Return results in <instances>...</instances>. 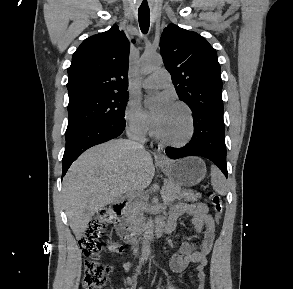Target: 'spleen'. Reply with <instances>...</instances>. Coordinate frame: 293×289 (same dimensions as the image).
Wrapping results in <instances>:
<instances>
[{
	"label": "spleen",
	"mask_w": 293,
	"mask_h": 289,
	"mask_svg": "<svg viewBox=\"0 0 293 289\" xmlns=\"http://www.w3.org/2000/svg\"><path fill=\"white\" fill-rule=\"evenodd\" d=\"M211 184L218 194L224 196L227 193L226 179L215 166H211Z\"/></svg>",
	"instance_id": "obj_1"
}]
</instances>
